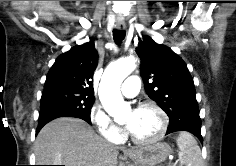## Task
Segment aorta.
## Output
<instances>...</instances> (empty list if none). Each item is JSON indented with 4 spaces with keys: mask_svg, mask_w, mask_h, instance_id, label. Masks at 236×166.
I'll list each match as a JSON object with an SVG mask.
<instances>
[{
    "mask_svg": "<svg viewBox=\"0 0 236 166\" xmlns=\"http://www.w3.org/2000/svg\"><path fill=\"white\" fill-rule=\"evenodd\" d=\"M135 68V58L128 57L109 65L102 76L98 90L99 99L105 111L112 117L130 111V105L123 100L120 86Z\"/></svg>",
    "mask_w": 236,
    "mask_h": 166,
    "instance_id": "1",
    "label": "aorta"
}]
</instances>
